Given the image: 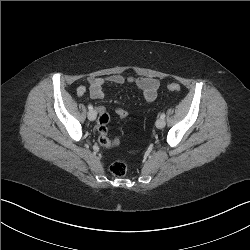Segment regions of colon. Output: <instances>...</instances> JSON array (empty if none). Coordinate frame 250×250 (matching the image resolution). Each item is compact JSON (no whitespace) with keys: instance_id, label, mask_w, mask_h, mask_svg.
<instances>
[{"instance_id":"5ec220e1","label":"colon","mask_w":250,"mask_h":250,"mask_svg":"<svg viewBox=\"0 0 250 250\" xmlns=\"http://www.w3.org/2000/svg\"><path fill=\"white\" fill-rule=\"evenodd\" d=\"M170 91L179 92L181 90V86L178 83H169L167 85ZM117 116L119 121H125L127 118V110L124 108H116ZM108 122H109V115L107 112H101L97 122V131L99 135L98 143L100 146H118L120 144L119 139L111 140L108 137ZM111 173L116 177H123L127 173V164L123 160H117L113 162L110 166Z\"/></svg>"}]
</instances>
